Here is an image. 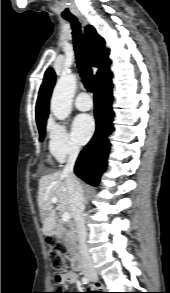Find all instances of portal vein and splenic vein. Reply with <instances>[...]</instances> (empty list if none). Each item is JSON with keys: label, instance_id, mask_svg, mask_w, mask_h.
<instances>
[{"label": "portal vein and splenic vein", "instance_id": "1", "mask_svg": "<svg viewBox=\"0 0 170 293\" xmlns=\"http://www.w3.org/2000/svg\"><path fill=\"white\" fill-rule=\"evenodd\" d=\"M52 203L56 204L58 203V199L56 197L51 199ZM70 220V214L68 212H64L62 214V221L63 222H68Z\"/></svg>", "mask_w": 170, "mask_h": 293}]
</instances>
